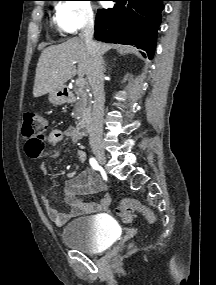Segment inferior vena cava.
Wrapping results in <instances>:
<instances>
[{"mask_svg":"<svg viewBox=\"0 0 216 285\" xmlns=\"http://www.w3.org/2000/svg\"><path fill=\"white\" fill-rule=\"evenodd\" d=\"M94 18L88 17L80 38L86 43L89 53L88 80L94 95L92 117L90 120V145L100 144L102 140V123L104 111L103 59L96 42L93 41Z\"/></svg>","mask_w":216,"mask_h":285,"instance_id":"1","label":"inferior vena cava"}]
</instances>
